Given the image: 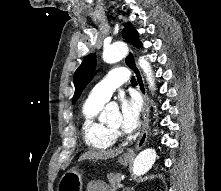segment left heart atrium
Listing matches in <instances>:
<instances>
[{
	"instance_id": "obj_1",
	"label": "left heart atrium",
	"mask_w": 221,
	"mask_h": 191,
	"mask_svg": "<svg viewBox=\"0 0 221 191\" xmlns=\"http://www.w3.org/2000/svg\"><path fill=\"white\" fill-rule=\"evenodd\" d=\"M140 123V105L136 98H123L121 102L120 127L126 133L136 131Z\"/></svg>"
}]
</instances>
